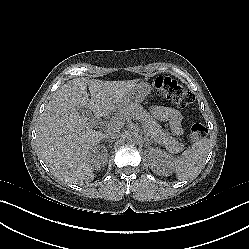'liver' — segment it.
<instances>
[{"instance_id": "obj_1", "label": "liver", "mask_w": 249, "mask_h": 249, "mask_svg": "<svg viewBox=\"0 0 249 249\" xmlns=\"http://www.w3.org/2000/svg\"><path fill=\"white\" fill-rule=\"evenodd\" d=\"M133 86L98 80H72L65 84L39 124L37 145L42 159L79 180H91L93 156L103 134L93 130L87 115L93 112L95 117H102L116 110Z\"/></svg>"}]
</instances>
